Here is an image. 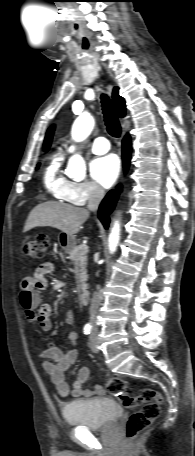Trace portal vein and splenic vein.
I'll return each mask as SVG.
<instances>
[{
	"mask_svg": "<svg viewBox=\"0 0 195 456\" xmlns=\"http://www.w3.org/2000/svg\"><path fill=\"white\" fill-rule=\"evenodd\" d=\"M80 248L84 251H88V246L87 245H81Z\"/></svg>",
	"mask_w": 195,
	"mask_h": 456,
	"instance_id": "obj_1",
	"label": "portal vein and splenic vein"
}]
</instances>
